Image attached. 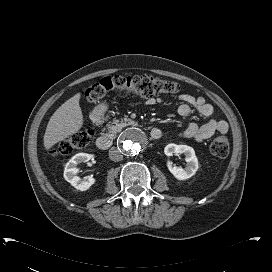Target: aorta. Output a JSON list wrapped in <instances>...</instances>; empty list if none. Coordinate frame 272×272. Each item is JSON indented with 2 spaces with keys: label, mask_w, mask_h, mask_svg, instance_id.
Here are the masks:
<instances>
[{
  "label": "aorta",
  "mask_w": 272,
  "mask_h": 272,
  "mask_svg": "<svg viewBox=\"0 0 272 272\" xmlns=\"http://www.w3.org/2000/svg\"><path fill=\"white\" fill-rule=\"evenodd\" d=\"M119 143L126 154L137 155L146 148L148 139L143 130L132 127L123 133Z\"/></svg>",
  "instance_id": "1"
}]
</instances>
